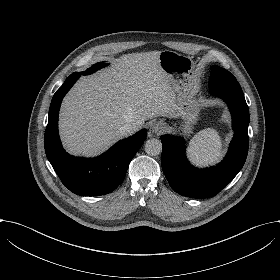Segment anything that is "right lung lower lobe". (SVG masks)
Listing matches in <instances>:
<instances>
[{
  "mask_svg": "<svg viewBox=\"0 0 280 280\" xmlns=\"http://www.w3.org/2000/svg\"><path fill=\"white\" fill-rule=\"evenodd\" d=\"M81 75L82 72L71 74L54 94L44 146L49 162L70 191L80 196H100L114 191L123 182L129 163L144 143L147 131L143 129L119 141L97 158H78L65 152L58 134L59 109L63 97Z\"/></svg>",
  "mask_w": 280,
  "mask_h": 280,
  "instance_id": "98d812e1",
  "label": "right lung lower lobe"
}]
</instances>
